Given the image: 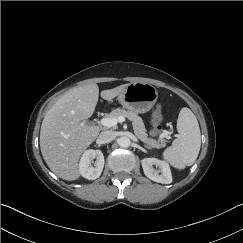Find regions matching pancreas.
<instances>
[{
    "instance_id": "cf45deb5",
    "label": "pancreas",
    "mask_w": 243,
    "mask_h": 243,
    "mask_svg": "<svg viewBox=\"0 0 243 243\" xmlns=\"http://www.w3.org/2000/svg\"><path fill=\"white\" fill-rule=\"evenodd\" d=\"M120 116L126 117L132 121L135 135L142 142H144L147 145V147L159 148L164 145V141H156L155 139H152L148 136L142 118L137 113L117 108L109 114V117L114 118H118Z\"/></svg>"
}]
</instances>
